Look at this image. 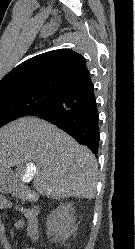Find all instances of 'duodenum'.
Here are the masks:
<instances>
[{
    "mask_svg": "<svg viewBox=\"0 0 135 249\" xmlns=\"http://www.w3.org/2000/svg\"><path fill=\"white\" fill-rule=\"evenodd\" d=\"M20 193H21V197L24 198L25 200H28L31 202L37 201L36 194L27 188L20 189Z\"/></svg>",
    "mask_w": 135,
    "mask_h": 249,
    "instance_id": "410a0bca",
    "label": "duodenum"
}]
</instances>
